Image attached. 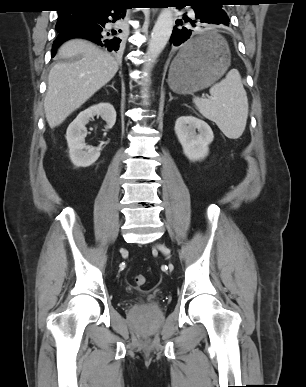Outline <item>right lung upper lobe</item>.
I'll use <instances>...</instances> for the list:
<instances>
[{
  "label": "right lung upper lobe",
  "mask_w": 306,
  "mask_h": 387,
  "mask_svg": "<svg viewBox=\"0 0 306 387\" xmlns=\"http://www.w3.org/2000/svg\"><path fill=\"white\" fill-rule=\"evenodd\" d=\"M63 7H101L119 0H61ZM60 10L59 12L63 11Z\"/></svg>",
  "instance_id": "obj_1"
}]
</instances>
